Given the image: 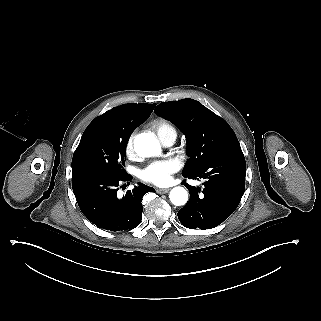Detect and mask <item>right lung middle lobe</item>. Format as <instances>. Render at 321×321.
Returning a JSON list of instances; mask_svg holds the SVG:
<instances>
[{"mask_svg": "<svg viewBox=\"0 0 321 321\" xmlns=\"http://www.w3.org/2000/svg\"><path fill=\"white\" fill-rule=\"evenodd\" d=\"M135 127L116 126L95 118L85 129L72 158V170L92 169L115 176L126 174V146Z\"/></svg>", "mask_w": 321, "mask_h": 321, "instance_id": "1", "label": "right lung middle lobe"}]
</instances>
